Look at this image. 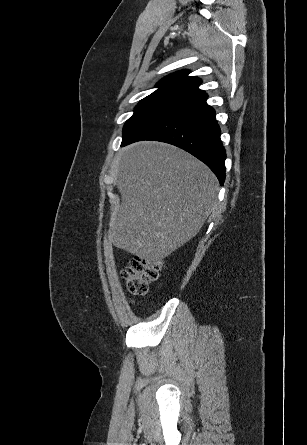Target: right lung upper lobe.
I'll return each mask as SVG.
<instances>
[{
    "mask_svg": "<svg viewBox=\"0 0 307 445\" xmlns=\"http://www.w3.org/2000/svg\"><path fill=\"white\" fill-rule=\"evenodd\" d=\"M188 73V70H182L166 76L157 83L158 89L150 96L175 98L186 102L203 95L205 92L198 89L201 80L189 77Z\"/></svg>",
    "mask_w": 307,
    "mask_h": 445,
    "instance_id": "cb5924a9",
    "label": "right lung upper lobe"
}]
</instances>
